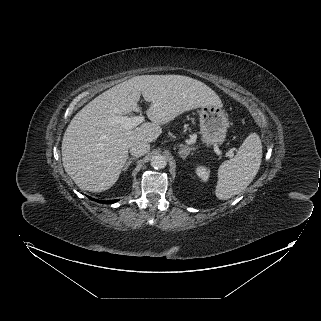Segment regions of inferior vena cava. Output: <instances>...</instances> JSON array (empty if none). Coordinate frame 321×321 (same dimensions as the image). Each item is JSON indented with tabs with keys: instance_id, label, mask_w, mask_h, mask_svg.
<instances>
[{
	"instance_id": "obj_1",
	"label": "inferior vena cava",
	"mask_w": 321,
	"mask_h": 321,
	"mask_svg": "<svg viewBox=\"0 0 321 321\" xmlns=\"http://www.w3.org/2000/svg\"><path fill=\"white\" fill-rule=\"evenodd\" d=\"M129 149L132 156L140 157L148 152L150 145L145 141H137L132 143Z\"/></svg>"
}]
</instances>
